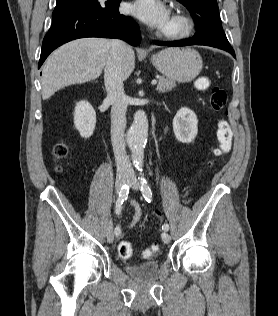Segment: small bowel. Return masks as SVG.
<instances>
[{
    "instance_id": "small-bowel-1",
    "label": "small bowel",
    "mask_w": 278,
    "mask_h": 316,
    "mask_svg": "<svg viewBox=\"0 0 278 316\" xmlns=\"http://www.w3.org/2000/svg\"><path fill=\"white\" fill-rule=\"evenodd\" d=\"M131 205L133 207L134 214H133V218H132V222H131L130 226L133 227L141 219L142 210H141V207L139 206V204L136 201H132ZM156 217H160V214L156 213Z\"/></svg>"
}]
</instances>
